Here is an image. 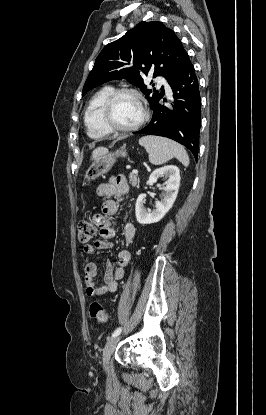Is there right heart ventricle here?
I'll return each mask as SVG.
<instances>
[{"label":"right heart ventricle","instance_id":"1","mask_svg":"<svg viewBox=\"0 0 266 415\" xmlns=\"http://www.w3.org/2000/svg\"><path fill=\"white\" fill-rule=\"evenodd\" d=\"M112 86H105L98 90L90 99L84 113V122L89 137L103 139L111 134L102 118V110L108 96L113 92Z\"/></svg>","mask_w":266,"mask_h":415}]
</instances>
